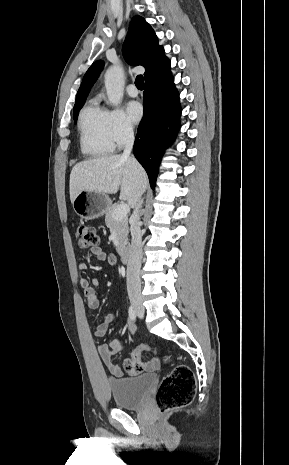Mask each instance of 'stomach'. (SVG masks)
Wrapping results in <instances>:
<instances>
[{"instance_id":"obj_1","label":"stomach","mask_w":289,"mask_h":465,"mask_svg":"<svg viewBox=\"0 0 289 465\" xmlns=\"http://www.w3.org/2000/svg\"><path fill=\"white\" fill-rule=\"evenodd\" d=\"M73 209L84 220L101 217L111 205L110 198L96 191H82L74 199Z\"/></svg>"}]
</instances>
